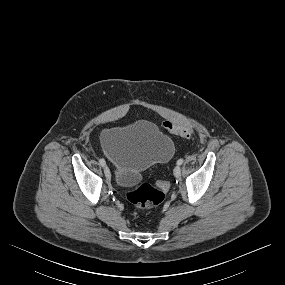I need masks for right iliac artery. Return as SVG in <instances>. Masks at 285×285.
<instances>
[{
    "label": "right iliac artery",
    "mask_w": 285,
    "mask_h": 285,
    "mask_svg": "<svg viewBox=\"0 0 285 285\" xmlns=\"http://www.w3.org/2000/svg\"><path fill=\"white\" fill-rule=\"evenodd\" d=\"M99 162H100L101 166H105L106 165V162H105V160L103 158H100Z\"/></svg>",
    "instance_id": "1"
}]
</instances>
